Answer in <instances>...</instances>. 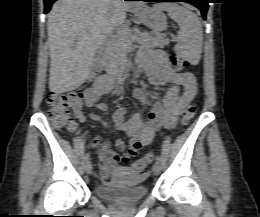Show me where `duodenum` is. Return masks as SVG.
<instances>
[{
    "label": "duodenum",
    "instance_id": "410a0bca",
    "mask_svg": "<svg viewBox=\"0 0 260 217\" xmlns=\"http://www.w3.org/2000/svg\"><path fill=\"white\" fill-rule=\"evenodd\" d=\"M100 53H101V49H99L97 51V59L95 60V64H97V62L100 59ZM115 83V80L113 79V77H101L99 78L95 84L92 87H96V89L104 91V92H108L112 89L113 85Z\"/></svg>",
    "mask_w": 260,
    "mask_h": 217
}]
</instances>
